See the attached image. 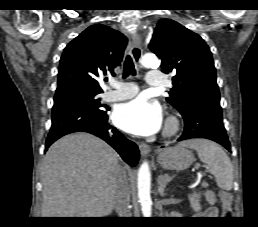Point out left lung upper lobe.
I'll list each match as a JSON object with an SVG mask.
<instances>
[{"label": "left lung upper lobe", "mask_w": 258, "mask_h": 227, "mask_svg": "<svg viewBox=\"0 0 258 227\" xmlns=\"http://www.w3.org/2000/svg\"><path fill=\"white\" fill-rule=\"evenodd\" d=\"M149 48L162 59V71L175 74L166 100L182 116L202 104L220 106L212 54L198 34L171 19H162L154 29Z\"/></svg>", "instance_id": "5c2ea615"}]
</instances>
